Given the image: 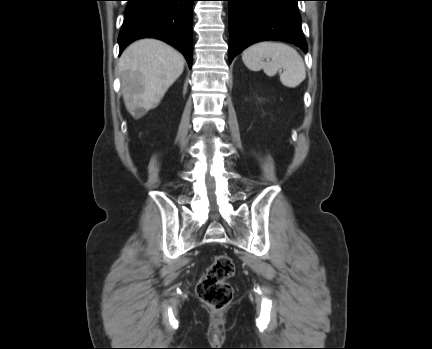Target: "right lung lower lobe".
Here are the masks:
<instances>
[{
  "label": "right lung lower lobe",
  "instance_id": "98d812e1",
  "mask_svg": "<svg viewBox=\"0 0 432 349\" xmlns=\"http://www.w3.org/2000/svg\"><path fill=\"white\" fill-rule=\"evenodd\" d=\"M118 42L120 53L131 42L156 38L177 48L192 64V6L195 0H127Z\"/></svg>",
  "mask_w": 432,
  "mask_h": 349
}]
</instances>
